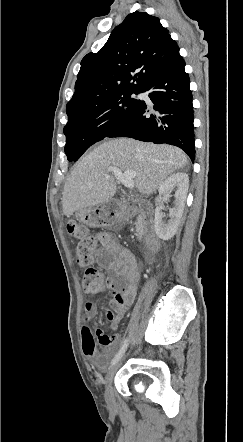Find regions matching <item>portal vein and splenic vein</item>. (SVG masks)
<instances>
[{
	"instance_id": "portal-vein-and-splenic-vein-1",
	"label": "portal vein and splenic vein",
	"mask_w": 243,
	"mask_h": 442,
	"mask_svg": "<svg viewBox=\"0 0 243 442\" xmlns=\"http://www.w3.org/2000/svg\"><path fill=\"white\" fill-rule=\"evenodd\" d=\"M108 172H112L116 179L120 181L124 186L129 189L134 188V178L136 176V172L133 170H127L122 173V171L117 167H109L107 168ZM107 176V175H106Z\"/></svg>"
}]
</instances>
